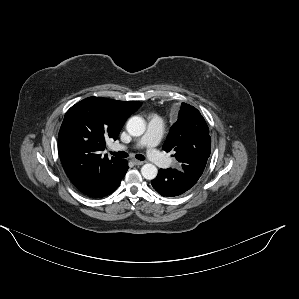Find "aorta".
I'll return each instance as SVG.
<instances>
[{
    "mask_svg": "<svg viewBox=\"0 0 299 299\" xmlns=\"http://www.w3.org/2000/svg\"><path fill=\"white\" fill-rule=\"evenodd\" d=\"M127 132L131 136H141L146 129L145 120L140 116H133L131 117L126 125ZM158 170L155 165L153 164H145L141 168L142 176L147 180H153L156 178Z\"/></svg>",
    "mask_w": 299,
    "mask_h": 299,
    "instance_id": "obj_1",
    "label": "aorta"
}]
</instances>
